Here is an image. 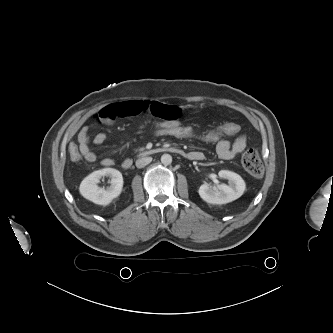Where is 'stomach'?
Returning <instances> with one entry per match:
<instances>
[{
  "instance_id": "1",
  "label": "stomach",
  "mask_w": 333,
  "mask_h": 333,
  "mask_svg": "<svg viewBox=\"0 0 333 333\" xmlns=\"http://www.w3.org/2000/svg\"><path fill=\"white\" fill-rule=\"evenodd\" d=\"M217 113V107L214 104H193L191 106H179L176 114L179 117H199L214 116Z\"/></svg>"
}]
</instances>
